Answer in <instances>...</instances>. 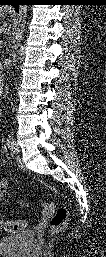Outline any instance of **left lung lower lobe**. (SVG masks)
Returning <instances> with one entry per match:
<instances>
[{"instance_id": "1", "label": "left lung lower lobe", "mask_w": 106, "mask_h": 257, "mask_svg": "<svg viewBox=\"0 0 106 257\" xmlns=\"http://www.w3.org/2000/svg\"><path fill=\"white\" fill-rule=\"evenodd\" d=\"M19 2H20V0H14L13 3L11 4L15 7L16 11H18Z\"/></svg>"}]
</instances>
